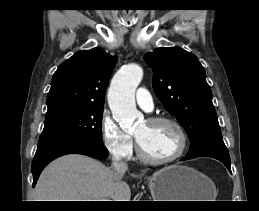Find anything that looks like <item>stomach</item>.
<instances>
[{
    "label": "stomach",
    "instance_id": "0dacf381",
    "mask_svg": "<svg viewBox=\"0 0 259 211\" xmlns=\"http://www.w3.org/2000/svg\"><path fill=\"white\" fill-rule=\"evenodd\" d=\"M154 201H213L216 188L202 173L180 165H172L148 178Z\"/></svg>",
    "mask_w": 259,
    "mask_h": 211
}]
</instances>
